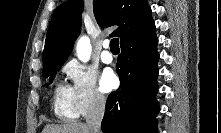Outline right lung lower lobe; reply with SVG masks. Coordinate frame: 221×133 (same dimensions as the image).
Masks as SVG:
<instances>
[{
	"label": "right lung lower lobe",
	"instance_id": "98d812e1",
	"mask_svg": "<svg viewBox=\"0 0 221 133\" xmlns=\"http://www.w3.org/2000/svg\"><path fill=\"white\" fill-rule=\"evenodd\" d=\"M158 39L155 32L121 44L117 61L120 87L107 99L103 133H156Z\"/></svg>",
	"mask_w": 221,
	"mask_h": 133
}]
</instances>
